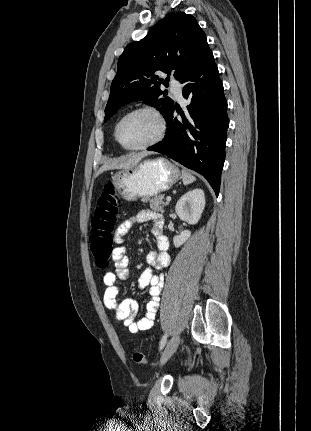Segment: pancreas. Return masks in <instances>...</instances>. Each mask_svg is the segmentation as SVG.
Instances as JSON below:
<instances>
[{
	"instance_id": "obj_1",
	"label": "pancreas",
	"mask_w": 311,
	"mask_h": 431,
	"mask_svg": "<svg viewBox=\"0 0 311 431\" xmlns=\"http://www.w3.org/2000/svg\"><path fill=\"white\" fill-rule=\"evenodd\" d=\"M164 196H153V198H141V202H145V204H149L151 210L153 212H164L163 208L166 206L165 202H163Z\"/></svg>"
}]
</instances>
